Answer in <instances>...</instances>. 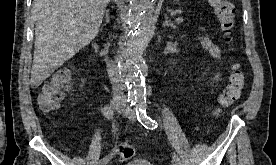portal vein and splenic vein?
<instances>
[{
    "label": "portal vein and splenic vein",
    "instance_id": "1",
    "mask_svg": "<svg viewBox=\"0 0 276 165\" xmlns=\"http://www.w3.org/2000/svg\"><path fill=\"white\" fill-rule=\"evenodd\" d=\"M176 22H177V23L183 22V17H178V18L176 19Z\"/></svg>",
    "mask_w": 276,
    "mask_h": 165
}]
</instances>
